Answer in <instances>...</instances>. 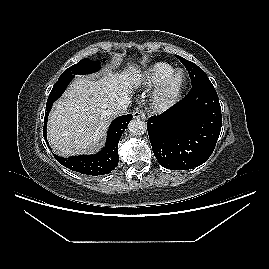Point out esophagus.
<instances>
[{
  "mask_svg": "<svg viewBox=\"0 0 269 269\" xmlns=\"http://www.w3.org/2000/svg\"><path fill=\"white\" fill-rule=\"evenodd\" d=\"M133 117L137 119H145V114L143 110L137 108L133 111Z\"/></svg>",
  "mask_w": 269,
  "mask_h": 269,
  "instance_id": "esophagus-1",
  "label": "esophagus"
}]
</instances>
